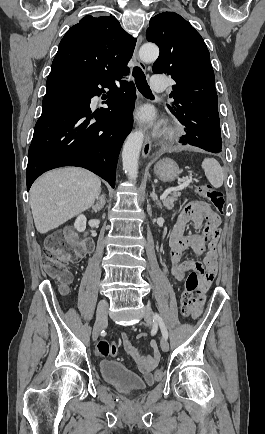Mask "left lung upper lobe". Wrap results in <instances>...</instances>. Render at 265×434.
Here are the masks:
<instances>
[{
	"label": "left lung upper lobe",
	"instance_id": "left-lung-upper-lobe-1",
	"mask_svg": "<svg viewBox=\"0 0 265 434\" xmlns=\"http://www.w3.org/2000/svg\"><path fill=\"white\" fill-rule=\"evenodd\" d=\"M149 24L146 38L160 49L153 72L167 73L176 82L168 108L187 130L221 133L214 71L203 38L175 12L160 13Z\"/></svg>",
	"mask_w": 265,
	"mask_h": 434
}]
</instances>
